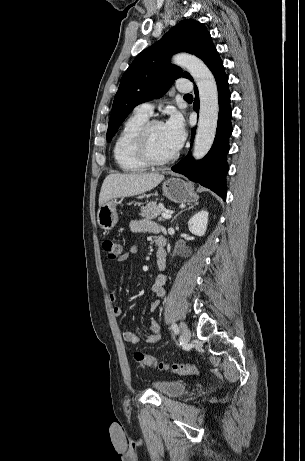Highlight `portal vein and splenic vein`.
<instances>
[{"label": "portal vein and splenic vein", "mask_w": 305, "mask_h": 461, "mask_svg": "<svg viewBox=\"0 0 305 461\" xmlns=\"http://www.w3.org/2000/svg\"><path fill=\"white\" fill-rule=\"evenodd\" d=\"M161 216H162V218H164V219H170V218L172 217L171 214L165 213V212H163V213L161 214Z\"/></svg>", "instance_id": "18ae733b"}]
</instances>
